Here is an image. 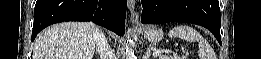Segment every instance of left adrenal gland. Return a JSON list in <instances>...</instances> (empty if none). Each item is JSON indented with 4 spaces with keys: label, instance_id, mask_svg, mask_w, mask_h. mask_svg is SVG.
<instances>
[{
    "label": "left adrenal gland",
    "instance_id": "1",
    "mask_svg": "<svg viewBox=\"0 0 261 59\" xmlns=\"http://www.w3.org/2000/svg\"><path fill=\"white\" fill-rule=\"evenodd\" d=\"M150 56H151L150 48H147L146 53H145V55H144V59H149Z\"/></svg>",
    "mask_w": 261,
    "mask_h": 59
}]
</instances>
